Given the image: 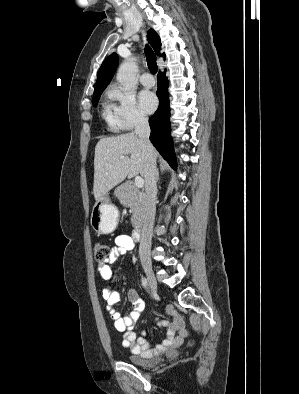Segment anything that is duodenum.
<instances>
[{
  "instance_id": "410a0bca",
  "label": "duodenum",
  "mask_w": 299,
  "mask_h": 394,
  "mask_svg": "<svg viewBox=\"0 0 299 394\" xmlns=\"http://www.w3.org/2000/svg\"><path fill=\"white\" fill-rule=\"evenodd\" d=\"M132 238L136 241L140 240L141 238V228L137 227L132 233Z\"/></svg>"
}]
</instances>
